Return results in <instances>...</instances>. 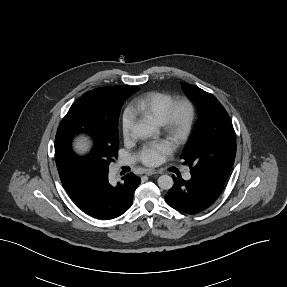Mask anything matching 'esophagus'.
<instances>
[{
  "label": "esophagus",
  "instance_id": "34e87169",
  "mask_svg": "<svg viewBox=\"0 0 287 287\" xmlns=\"http://www.w3.org/2000/svg\"><path fill=\"white\" fill-rule=\"evenodd\" d=\"M146 175H153V174H162V171L160 170H153V169H147L144 172Z\"/></svg>",
  "mask_w": 287,
  "mask_h": 287
}]
</instances>
